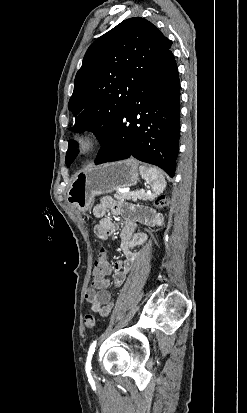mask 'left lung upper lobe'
I'll use <instances>...</instances> for the list:
<instances>
[{
  "label": "left lung upper lobe",
  "instance_id": "5c2ea615",
  "mask_svg": "<svg viewBox=\"0 0 247 413\" xmlns=\"http://www.w3.org/2000/svg\"><path fill=\"white\" fill-rule=\"evenodd\" d=\"M166 38L144 18H130L96 39L77 72L68 108L74 132L92 131L102 145L133 94L171 48ZM69 142L66 165L77 156Z\"/></svg>",
  "mask_w": 247,
  "mask_h": 413
}]
</instances>
